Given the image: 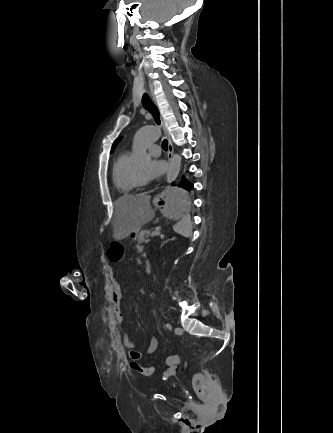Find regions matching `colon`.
<instances>
[{"mask_svg": "<svg viewBox=\"0 0 333 433\" xmlns=\"http://www.w3.org/2000/svg\"><path fill=\"white\" fill-rule=\"evenodd\" d=\"M108 252L110 253L111 257V265H120L121 258L125 252V245L122 244L121 240H114L113 244L108 245ZM179 362L180 357L178 355H170L165 358V364L171 369L176 368ZM130 367L137 373L144 376H150L154 372L153 366H143L135 362L130 363ZM192 384L197 396L203 401L207 400L209 396V389L206 376L202 373L193 374Z\"/></svg>", "mask_w": 333, "mask_h": 433, "instance_id": "colon-1", "label": "colon"}]
</instances>
